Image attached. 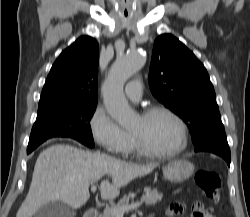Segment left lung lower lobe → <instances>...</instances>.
<instances>
[{"label":"left lung lower lobe","instance_id":"obj_1","mask_svg":"<svg viewBox=\"0 0 250 217\" xmlns=\"http://www.w3.org/2000/svg\"><path fill=\"white\" fill-rule=\"evenodd\" d=\"M195 146L196 152H211L217 154L230 166V148L227 142L225 130H220L209 135Z\"/></svg>","mask_w":250,"mask_h":217}]
</instances>
